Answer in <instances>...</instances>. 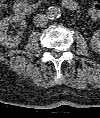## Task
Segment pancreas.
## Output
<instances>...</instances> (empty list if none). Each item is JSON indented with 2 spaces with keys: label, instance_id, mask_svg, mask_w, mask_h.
<instances>
[{
  "label": "pancreas",
  "instance_id": "1",
  "mask_svg": "<svg viewBox=\"0 0 100 118\" xmlns=\"http://www.w3.org/2000/svg\"><path fill=\"white\" fill-rule=\"evenodd\" d=\"M39 5H41V1L36 3V7H38Z\"/></svg>",
  "mask_w": 100,
  "mask_h": 118
}]
</instances>
